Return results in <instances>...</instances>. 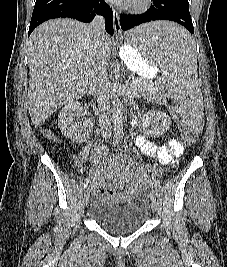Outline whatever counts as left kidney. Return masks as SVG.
Returning <instances> with one entry per match:
<instances>
[{
  "mask_svg": "<svg viewBox=\"0 0 227 267\" xmlns=\"http://www.w3.org/2000/svg\"><path fill=\"white\" fill-rule=\"evenodd\" d=\"M145 127H149L148 133L151 136L159 137L166 133L171 126L170 117L163 111L152 110L149 111L144 119Z\"/></svg>",
  "mask_w": 227,
  "mask_h": 267,
  "instance_id": "5707ae66",
  "label": "left kidney"
}]
</instances>
